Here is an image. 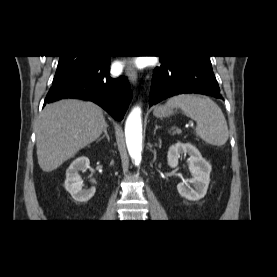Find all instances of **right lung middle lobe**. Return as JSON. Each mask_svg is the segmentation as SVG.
<instances>
[{
	"label": "right lung middle lobe",
	"instance_id": "dd1d6c3e",
	"mask_svg": "<svg viewBox=\"0 0 277 277\" xmlns=\"http://www.w3.org/2000/svg\"><path fill=\"white\" fill-rule=\"evenodd\" d=\"M102 58L99 56H60L53 84L66 80L76 73L93 66Z\"/></svg>",
	"mask_w": 277,
	"mask_h": 277
}]
</instances>
